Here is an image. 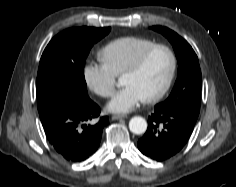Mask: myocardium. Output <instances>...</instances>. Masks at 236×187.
<instances>
[{
  "instance_id": "obj_1",
  "label": "myocardium",
  "mask_w": 236,
  "mask_h": 187,
  "mask_svg": "<svg viewBox=\"0 0 236 187\" xmlns=\"http://www.w3.org/2000/svg\"><path fill=\"white\" fill-rule=\"evenodd\" d=\"M156 50H163L168 54L170 58V69H169L168 77L164 85L162 86V88L155 94L144 98L143 101L145 103H153V102L159 101L167 94V92L171 88L175 75H176V71H177V57H176L175 52L167 45L153 44L149 46L148 48H146L145 50H143L142 52H140L137 55V57L133 60L131 65L123 73V75H132V74L137 73L144 65L148 56Z\"/></svg>"
}]
</instances>
